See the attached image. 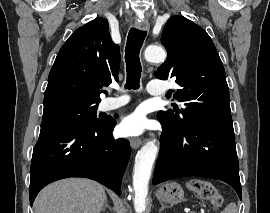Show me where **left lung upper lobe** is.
Segmentation results:
<instances>
[{
  "label": "left lung upper lobe",
  "instance_id": "1",
  "mask_svg": "<svg viewBox=\"0 0 270 213\" xmlns=\"http://www.w3.org/2000/svg\"><path fill=\"white\" fill-rule=\"evenodd\" d=\"M161 43L167 59L154 75L162 80L176 78L180 89L173 98L183 108L159 111L158 119L178 129L196 120L232 123L225 70L207 32L181 15L172 16L164 26Z\"/></svg>",
  "mask_w": 270,
  "mask_h": 213
}]
</instances>
